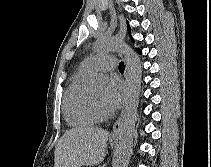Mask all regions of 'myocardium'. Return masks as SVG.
<instances>
[{"mask_svg":"<svg viewBox=\"0 0 211 167\" xmlns=\"http://www.w3.org/2000/svg\"><path fill=\"white\" fill-rule=\"evenodd\" d=\"M87 100H88L89 109L92 115L96 118V120L102 121V120H106L109 117L107 113H102L101 111L98 110L90 92H88Z\"/></svg>","mask_w":211,"mask_h":167,"instance_id":"f54148a6","label":"myocardium"}]
</instances>
